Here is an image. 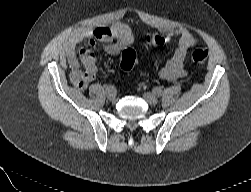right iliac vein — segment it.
<instances>
[{"label":"right iliac vein","mask_w":251,"mask_h":192,"mask_svg":"<svg viewBox=\"0 0 251 192\" xmlns=\"http://www.w3.org/2000/svg\"><path fill=\"white\" fill-rule=\"evenodd\" d=\"M107 97L112 102H116L117 101V96H116L115 92L107 93Z\"/></svg>","instance_id":"1"}]
</instances>
